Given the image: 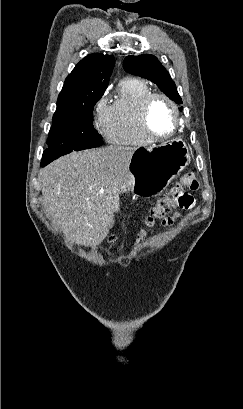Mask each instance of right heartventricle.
I'll return each instance as SVG.
<instances>
[{
	"instance_id": "obj_1",
	"label": "right heart ventricle",
	"mask_w": 243,
	"mask_h": 409,
	"mask_svg": "<svg viewBox=\"0 0 243 409\" xmlns=\"http://www.w3.org/2000/svg\"><path fill=\"white\" fill-rule=\"evenodd\" d=\"M147 83L136 78L120 81L116 95L110 105L107 138L120 145L143 146L152 143L142 129L140 106L151 93Z\"/></svg>"
}]
</instances>
